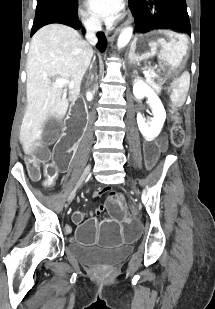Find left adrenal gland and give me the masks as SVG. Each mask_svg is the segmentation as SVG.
<instances>
[{"label": "left adrenal gland", "mask_w": 215, "mask_h": 309, "mask_svg": "<svg viewBox=\"0 0 215 309\" xmlns=\"http://www.w3.org/2000/svg\"><path fill=\"white\" fill-rule=\"evenodd\" d=\"M135 74H137V70H134Z\"/></svg>", "instance_id": "obj_1"}]
</instances>
